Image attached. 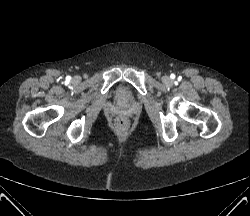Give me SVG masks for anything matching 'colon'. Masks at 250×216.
I'll use <instances>...</instances> for the list:
<instances>
[{"label": "colon", "mask_w": 250, "mask_h": 216, "mask_svg": "<svg viewBox=\"0 0 250 216\" xmlns=\"http://www.w3.org/2000/svg\"><path fill=\"white\" fill-rule=\"evenodd\" d=\"M127 126V122L125 120V118L119 116L116 118L115 120V127L118 129V130H124Z\"/></svg>", "instance_id": "obj_1"}]
</instances>
